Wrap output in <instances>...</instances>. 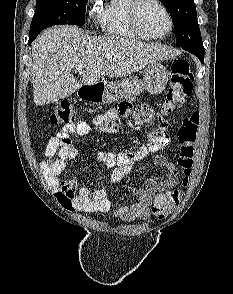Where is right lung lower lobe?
Instances as JSON below:
<instances>
[{"instance_id":"right-lung-lower-lobe-1","label":"right lung lower lobe","mask_w":233,"mask_h":294,"mask_svg":"<svg viewBox=\"0 0 233 294\" xmlns=\"http://www.w3.org/2000/svg\"><path fill=\"white\" fill-rule=\"evenodd\" d=\"M36 37H29V45Z\"/></svg>"}]
</instances>
